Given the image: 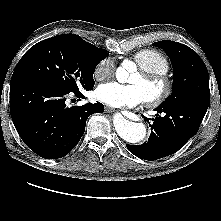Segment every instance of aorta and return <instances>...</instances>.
<instances>
[{"instance_id": "1", "label": "aorta", "mask_w": 221, "mask_h": 221, "mask_svg": "<svg viewBox=\"0 0 221 221\" xmlns=\"http://www.w3.org/2000/svg\"><path fill=\"white\" fill-rule=\"evenodd\" d=\"M134 67L122 66L116 70V78L120 83H125L129 77V73ZM113 123L118 135L125 141L130 143H139L146 137L147 129L143 123L132 122L125 119L121 114H116Z\"/></svg>"}]
</instances>
